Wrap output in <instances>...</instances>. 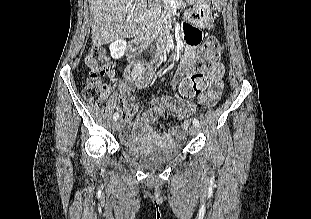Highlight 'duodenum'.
<instances>
[{"mask_svg": "<svg viewBox=\"0 0 311 219\" xmlns=\"http://www.w3.org/2000/svg\"><path fill=\"white\" fill-rule=\"evenodd\" d=\"M149 44V30L148 27H143L140 32L134 37L130 43V54L129 60L132 63H139L141 58V53L146 51ZM169 44V37L160 42L158 45L159 49L167 47Z\"/></svg>", "mask_w": 311, "mask_h": 219, "instance_id": "1", "label": "duodenum"}]
</instances>
